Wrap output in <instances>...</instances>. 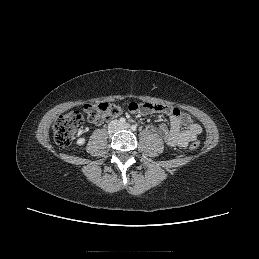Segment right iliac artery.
Listing matches in <instances>:
<instances>
[{
  "instance_id": "82829eb1",
  "label": "right iliac artery",
  "mask_w": 259,
  "mask_h": 259,
  "mask_svg": "<svg viewBox=\"0 0 259 259\" xmlns=\"http://www.w3.org/2000/svg\"><path fill=\"white\" fill-rule=\"evenodd\" d=\"M125 118L124 117H121L120 119H119V122L121 123V124H124L125 123Z\"/></svg>"
}]
</instances>
